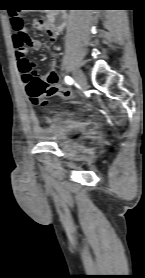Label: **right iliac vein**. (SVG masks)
I'll list each match as a JSON object with an SVG mask.
<instances>
[{"label": "right iliac vein", "instance_id": "obj_1", "mask_svg": "<svg viewBox=\"0 0 145 278\" xmlns=\"http://www.w3.org/2000/svg\"><path fill=\"white\" fill-rule=\"evenodd\" d=\"M73 76H74L75 81L77 82V84L80 87L84 88L86 86V84H87L86 77L80 70L74 69Z\"/></svg>", "mask_w": 145, "mask_h": 278}]
</instances>
